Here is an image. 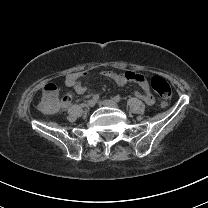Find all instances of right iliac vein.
Wrapping results in <instances>:
<instances>
[{
	"label": "right iliac vein",
	"instance_id": "63e3f726",
	"mask_svg": "<svg viewBox=\"0 0 208 208\" xmlns=\"http://www.w3.org/2000/svg\"><path fill=\"white\" fill-rule=\"evenodd\" d=\"M95 104H96V101L93 100V99L87 101V106H88V107H94Z\"/></svg>",
	"mask_w": 208,
	"mask_h": 208
}]
</instances>
